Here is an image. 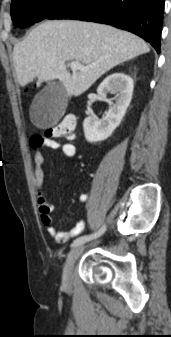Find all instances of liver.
I'll use <instances>...</instances> for the list:
<instances>
[{
  "label": "liver",
  "instance_id": "1",
  "mask_svg": "<svg viewBox=\"0 0 171 337\" xmlns=\"http://www.w3.org/2000/svg\"><path fill=\"white\" fill-rule=\"evenodd\" d=\"M150 51L140 37L114 27L74 20L45 21L13 49L20 86L58 79L67 96H79L113 67ZM67 60L86 67L70 74Z\"/></svg>",
  "mask_w": 171,
  "mask_h": 337
}]
</instances>
